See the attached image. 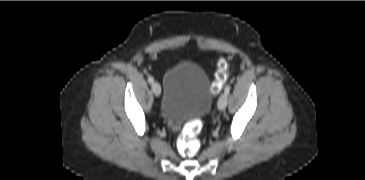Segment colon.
<instances>
[{
  "mask_svg": "<svg viewBox=\"0 0 365 180\" xmlns=\"http://www.w3.org/2000/svg\"><path fill=\"white\" fill-rule=\"evenodd\" d=\"M227 76V63L225 60H220L217 64V71L212 84L214 93L220 92L227 80ZM201 131L202 123L199 121H192L184 126L177 140V149L182 156L191 158L198 154L201 148V141L199 139Z\"/></svg>",
  "mask_w": 365,
  "mask_h": 180,
  "instance_id": "5ec220e1",
  "label": "colon"
}]
</instances>
